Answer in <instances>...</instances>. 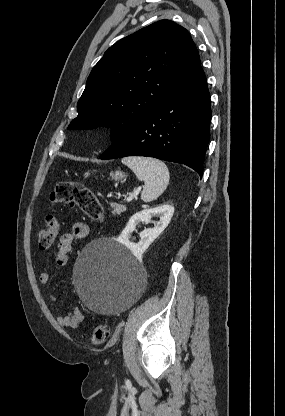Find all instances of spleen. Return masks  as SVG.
Here are the masks:
<instances>
[{
	"label": "spleen",
	"mask_w": 285,
	"mask_h": 416,
	"mask_svg": "<svg viewBox=\"0 0 285 416\" xmlns=\"http://www.w3.org/2000/svg\"><path fill=\"white\" fill-rule=\"evenodd\" d=\"M121 162L134 172L138 180L145 182L141 194V200L143 202L157 200L165 192L169 184L170 176L164 162L155 160V158H141V156L122 158Z\"/></svg>",
	"instance_id": "obj_1"
}]
</instances>
